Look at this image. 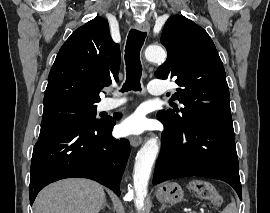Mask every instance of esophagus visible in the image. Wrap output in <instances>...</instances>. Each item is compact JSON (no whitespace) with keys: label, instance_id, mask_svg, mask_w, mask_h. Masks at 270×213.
Listing matches in <instances>:
<instances>
[{"label":"esophagus","instance_id":"34e87169","mask_svg":"<svg viewBox=\"0 0 270 213\" xmlns=\"http://www.w3.org/2000/svg\"><path fill=\"white\" fill-rule=\"evenodd\" d=\"M137 30L142 32H149L150 31V24L147 21L144 22H137L135 24ZM130 144L133 147H138L142 143V137L140 136H132L130 137Z\"/></svg>","mask_w":270,"mask_h":213}]
</instances>
